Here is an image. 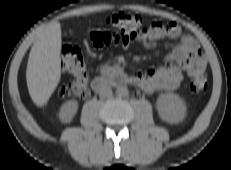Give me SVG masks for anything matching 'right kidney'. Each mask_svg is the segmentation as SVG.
Wrapping results in <instances>:
<instances>
[{
	"label": "right kidney",
	"instance_id": "ca27d5eb",
	"mask_svg": "<svg viewBox=\"0 0 231 170\" xmlns=\"http://www.w3.org/2000/svg\"><path fill=\"white\" fill-rule=\"evenodd\" d=\"M78 110V102L70 100L61 106L59 117L63 122H70Z\"/></svg>",
	"mask_w": 231,
	"mask_h": 170
}]
</instances>
